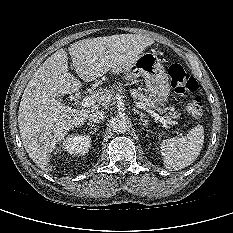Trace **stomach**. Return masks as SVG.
<instances>
[{
  "label": "stomach",
  "mask_w": 233,
  "mask_h": 233,
  "mask_svg": "<svg viewBox=\"0 0 233 233\" xmlns=\"http://www.w3.org/2000/svg\"><path fill=\"white\" fill-rule=\"evenodd\" d=\"M125 79L143 77L149 96L155 103L163 105L170 94L168 75L157 55L151 52L140 54L123 72Z\"/></svg>",
  "instance_id": "obj_1"
}]
</instances>
